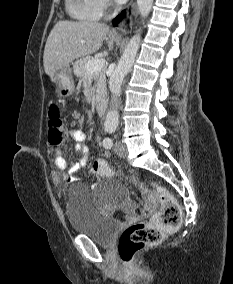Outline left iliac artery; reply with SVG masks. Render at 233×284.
<instances>
[{"instance_id": "obj_1", "label": "left iliac artery", "mask_w": 233, "mask_h": 284, "mask_svg": "<svg viewBox=\"0 0 233 284\" xmlns=\"http://www.w3.org/2000/svg\"><path fill=\"white\" fill-rule=\"evenodd\" d=\"M112 145H113L112 139H110V138H105V139L103 140V146H104L105 148L110 149V148L112 147Z\"/></svg>"}]
</instances>
